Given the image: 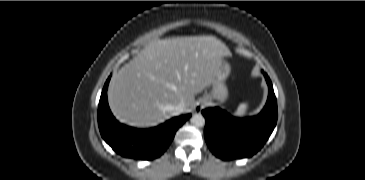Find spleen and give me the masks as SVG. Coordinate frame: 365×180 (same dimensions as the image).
Here are the masks:
<instances>
[{
    "label": "spleen",
    "mask_w": 365,
    "mask_h": 180,
    "mask_svg": "<svg viewBox=\"0 0 365 180\" xmlns=\"http://www.w3.org/2000/svg\"><path fill=\"white\" fill-rule=\"evenodd\" d=\"M247 110H248V104L247 103H241L238 108L237 111L235 112V116L236 117H244L247 114Z\"/></svg>",
    "instance_id": "1"
}]
</instances>
